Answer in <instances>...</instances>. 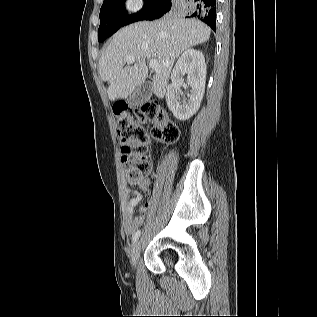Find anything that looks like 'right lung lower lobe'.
Returning a JSON list of instances; mask_svg holds the SVG:
<instances>
[{
	"label": "right lung lower lobe",
	"mask_w": 317,
	"mask_h": 317,
	"mask_svg": "<svg viewBox=\"0 0 317 317\" xmlns=\"http://www.w3.org/2000/svg\"><path fill=\"white\" fill-rule=\"evenodd\" d=\"M185 8L189 17H197L208 24L213 30L216 28V0H185ZM173 0H162L144 20H153L162 17L170 11Z\"/></svg>",
	"instance_id": "obj_1"
}]
</instances>
